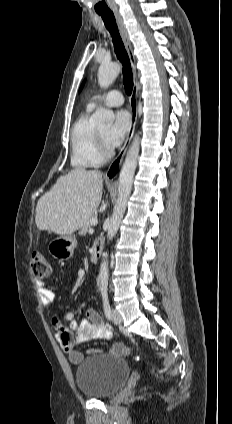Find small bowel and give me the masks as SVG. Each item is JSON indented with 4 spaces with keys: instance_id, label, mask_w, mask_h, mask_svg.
Wrapping results in <instances>:
<instances>
[{
    "instance_id": "1",
    "label": "small bowel",
    "mask_w": 232,
    "mask_h": 424,
    "mask_svg": "<svg viewBox=\"0 0 232 424\" xmlns=\"http://www.w3.org/2000/svg\"><path fill=\"white\" fill-rule=\"evenodd\" d=\"M37 292L43 306L48 307L53 303L54 293L45 283L37 282ZM63 319L68 322V326H64L58 317L54 320L56 338L62 351L67 354L73 364H79L83 359V354L75 349L77 344L112 337L111 327L93 309L86 310V318L84 319H76L73 312L65 313ZM89 351L100 352V349L94 348ZM111 352L123 354L122 348H114V343L111 346Z\"/></svg>"
}]
</instances>
